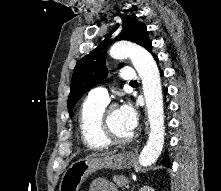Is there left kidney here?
<instances>
[{
    "mask_svg": "<svg viewBox=\"0 0 221 191\" xmlns=\"http://www.w3.org/2000/svg\"><path fill=\"white\" fill-rule=\"evenodd\" d=\"M139 191H155V190L150 186H143Z\"/></svg>",
    "mask_w": 221,
    "mask_h": 191,
    "instance_id": "5707ae66",
    "label": "left kidney"
}]
</instances>
